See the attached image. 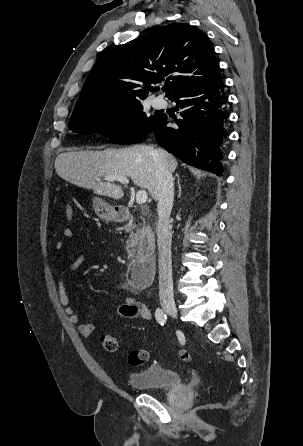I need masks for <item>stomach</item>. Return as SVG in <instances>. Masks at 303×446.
I'll list each match as a JSON object with an SVG mask.
<instances>
[{
    "label": "stomach",
    "mask_w": 303,
    "mask_h": 446,
    "mask_svg": "<svg viewBox=\"0 0 303 446\" xmlns=\"http://www.w3.org/2000/svg\"><path fill=\"white\" fill-rule=\"evenodd\" d=\"M93 207L95 213L104 220H114L118 216V212L115 211V208L101 198H93Z\"/></svg>",
    "instance_id": "stomach-1"
}]
</instances>
